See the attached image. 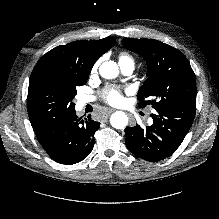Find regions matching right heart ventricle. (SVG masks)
<instances>
[{
  "label": "right heart ventricle",
  "instance_id": "right-heart-ventricle-1",
  "mask_svg": "<svg viewBox=\"0 0 219 219\" xmlns=\"http://www.w3.org/2000/svg\"><path fill=\"white\" fill-rule=\"evenodd\" d=\"M118 59H119V65L128 64V63L134 64L133 57L130 54H128L127 52H121L119 54Z\"/></svg>",
  "mask_w": 219,
  "mask_h": 219
}]
</instances>
